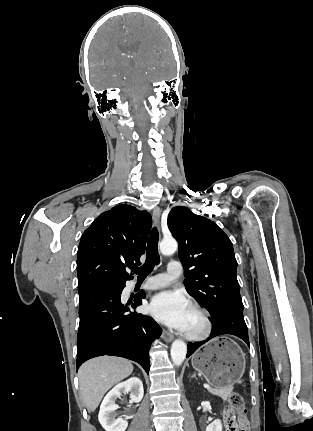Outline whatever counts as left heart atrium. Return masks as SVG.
<instances>
[{
    "label": "left heart atrium",
    "mask_w": 313,
    "mask_h": 431,
    "mask_svg": "<svg viewBox=\"0 0 313 431\" xmlns=\"http://www.w3.org/2000/svg\"><path fill=\"white\" fill-rule=\"evenodd\" d=\"M190 310V302L178 291L160 292L149 304V311L155 319L180 331H186Z\"/></svg>",
    "instance_id": "left-heart-atrium-1"
}]
</instances>
